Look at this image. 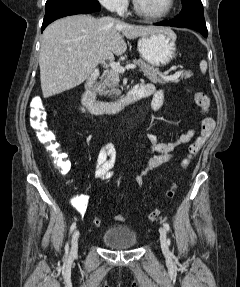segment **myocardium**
Here are the masks:
<instances>
[{
    "label": "myocardium",
    "mask_w": 240,
    "mask_h": 287,
    "mask_svg": "<svg viewBox=\"0 0 240 287\" xmlns=\"http://www.w3.org/2000/svg\"><path fill=\"white\" fill-rule=\"evenodd\" d=\"M175 0H168L166 8L161 12H150L139 6L136 0H133V8L137 14L149 19H162L167 17L174 9Z\"/></svg>",
    "instance_id": "obj_1"
}]
</instances>
